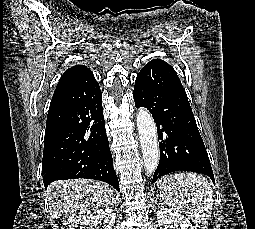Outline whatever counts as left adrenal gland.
<instances>
[{
	"label": "left adrenal gland",
	"instance_id": "a2214340",
	"mask_svg": "<svg viewBox=\"0 0 255 229\" xmlns=\"http://www.w3.org/2000/svg\"><path fill=\"white\" fill-rule=\"evenodd\" d=\"M158 199V198H157ZM161 203L160 202H158V204L157 205H160Z\"/></svg>",
	"mask_w": 255,
	"mask_h": 229
}]
</instances>
